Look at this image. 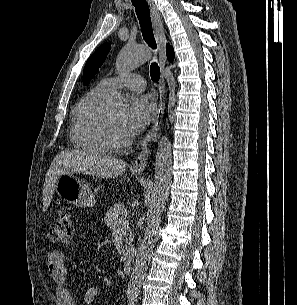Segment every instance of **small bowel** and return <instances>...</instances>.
<instances>
[{"label":"small bowel","mask_w":297,"mask_h":305,"mask_svg":"<svg viewBox=\"0 0 297 305\" xmlns=\"http://www.w3.org/2000/svg\"><path fill=\"white\" fill-rule=\"evenodd\" d=\"M47 266L56 285V293L61 305H77V301L70 291L65 256L61 251L52 250L47 255ZM102 292L99 287H90L85 293V302L91 305Z\"/></svg>","instance_id":"obj_1"}]
</instances>
